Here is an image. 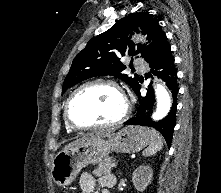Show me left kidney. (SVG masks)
Wrapping results in <instances>:
<instances>
[{
  "mask_svg": "<svg viewBox=\"0 0 221 193\" xmlns=\"http://www.w3.org/2000/svg\"><path fill=\"white\" fill-rule=\"evenodd\" d=\"M153 177L152 168L148 165L139 166L132 174V182L137 191L143 192L151 183Z\"/></svg>",
  "mask_w": 221,
  "mask_h": 193,
  "instance_id": "left-kidney-1",
  "label": "left kidney"
}]
</instances>
